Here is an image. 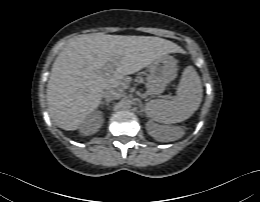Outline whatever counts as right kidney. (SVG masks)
<instances>
[{"mask_svg": "<svg viewBox=\"0 0 260 202\" xmlns=\"http://www.w3.org/2000/svg\"><path fill=\"white\" fill-rule=\"evenodd\" d=\"M103 116L100 111H94L88 115L80 127V133L83 135L94 134L102 126Z\"/></svg>", "mask_w": 260, "mask_h": 202, "instance_id": "ca27d5eb", "label": "right kidney"}]
</instances>
